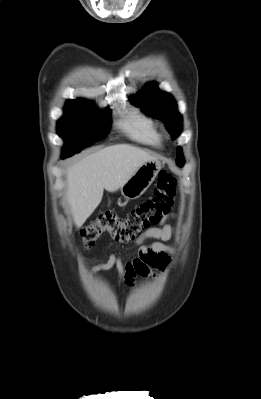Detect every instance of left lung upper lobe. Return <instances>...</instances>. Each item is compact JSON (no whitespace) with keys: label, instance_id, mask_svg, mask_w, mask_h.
Wrapping results in <instances>:
<instances>
[{"label":"left lung upper lobe","instance_id":"5c2ea615","mask_svg":"<svg viewBox=\"0 0 261 399\" xmlns=\"http://www.w3.org/2000/svg\"><path fill=\"white\" fill-rule=\"evenodd\" d=\"M131 102L141 107L148 115L154 116L165 122L166 128L173 139L182 131V116L176 108V102L171 95L161 92L156 85L148 84L136 96L130 97ZM176 162L179 166L184 164L180 147L177 148Z\"/></svg>","mask_w":261,"mask_h":399}]
</instances>
